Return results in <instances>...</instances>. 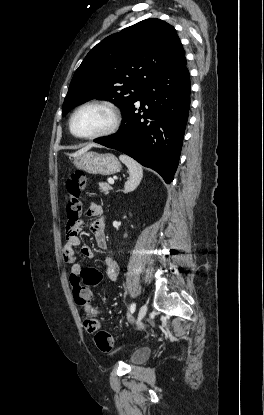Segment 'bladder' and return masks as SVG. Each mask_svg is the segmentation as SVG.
I'll list each match as a JSON object with an SVG mask.
<instances>
[{"label": "bladder", "instance_id": "bladder-1", "mask_svg": "<svg viewBox=\"0 0 264 415\" xmlns=\"http://www.w3.org/2000/svg\"><path fill=\"white\" fill-rule=\"evenodd\" d=\"M151 355V350L149 348H139L135 350L130 356V363L132 364H141L146 362Z\"/></svg>", "mask_w": 264, "mask_h": 415}]
</instances>
